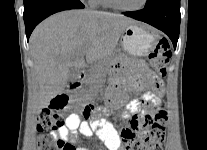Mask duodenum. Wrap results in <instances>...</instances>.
<instances>
[{"label":"duodenum","instance_id":"duodenum-1","mask_svg":"<svg viewBox=\"0 0 207 150\" xmlns=\"http://www.w3.org/2000/svg\"><path fill=\"white\" fill-rule=\"evenodd\" d=\"M84 79H85V75H81L79 79L71 83L70 88L72 90L78 89L82 85Z\"/></svg>","mask_w":207,"mask_h":150}]
</instances>
